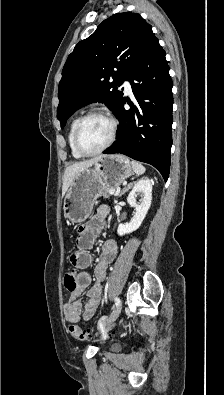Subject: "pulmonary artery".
Returning a JSON list of instances; mask_svg holds the SVG:
<instances>
[{"label":"pulmonary artery","instance_id":"pulmonary-artery-1","mask_svg":"<svg viewBox=\"0 0 224 395\" xmlns=\"http://www.w3.org/2000/svg\"><path fill=\"white\" fill-rule=\"evenodd\" d=\"M123 88H124L125 93H127V94H131L132 93L131 84H130V82L128 80H125L123 82Z\"/></svg>","mask_w":224,"mask_h":395}]
</instances>
